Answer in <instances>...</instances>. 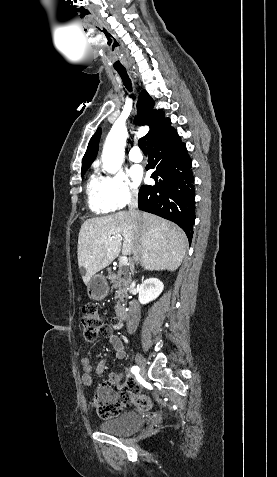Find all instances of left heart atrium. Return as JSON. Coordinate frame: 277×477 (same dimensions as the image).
Returning <instances> with one entry per match:
<instances>
[{
	"label": "left heart atrium",
	"mask_w": 277,
	"mask_h": 477,
	"mask_svg": "<svg viewBox=\"0 0 277 477\" xmlns=\"http://www.w3.org/2000/svg\"><path fill=\"white\" fill-rule=\"evenodd\" d=\"M131 176H132V178H133V180L136 184L140 183V181L142 180V170H141V168L137 167V166L133 167L131 169Z\"/></svg>",
	"instance_id": "left-heart-atrium-1"
}]
</instances>
